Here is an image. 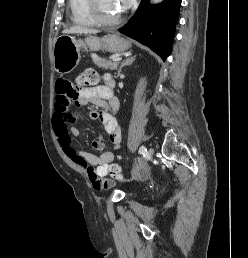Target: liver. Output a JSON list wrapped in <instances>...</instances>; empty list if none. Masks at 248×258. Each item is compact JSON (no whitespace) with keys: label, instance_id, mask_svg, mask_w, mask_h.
<instances>
[{"label":"liver","instance_id":"obj_1","mask_svg":"<svg viewBox=\"0 0 248 258\" xmlns=\"http://www.w3.org/2000/svg\"><path fill=\"white\" fill-rule=\"evenodd\" d=\"M63 34H96L98 33V30L95 29H89L82 26H72L68 29H64Z\"/></svg>","mask_w":248,"mask_h":258}]
</instances>
